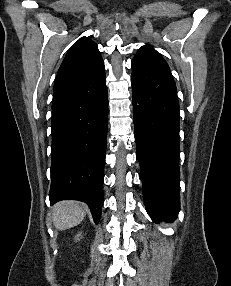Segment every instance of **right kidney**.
I'll return each mask as SVG.
<instances>
[{"label": "right kidney", "instance_id": "obj_1", "mask_svg": "<svg viewBox=\"0 0 231 286\" xmlns=\"http://www.w3.org/2000/svg\"><path fill=\"white\" fill-rule=\"evenodd\" d=\"M81 234H82V233H78V234L75 236V238H74L75 241H79V240H80V238L82 237Z\"/></svg>", "mask_w": 231, "mask_h": 286}]
</instances>
